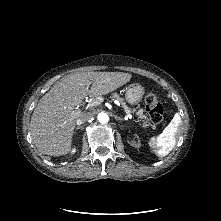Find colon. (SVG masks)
<instances>
[{"label":"colon","instance_id":"1","mask_svg":"<svg viewBox=\"0 0 221 221\" xmlns=\"http://www.w3.org/2000/svg\"><path fill=\"white\" fill-rule=\"evenodd\" d=\"M144 104L151 122L154 125L161 124L164 116V108L160 98L156 94L150 93L146 96Z\"/></svg>","mask_w":221,"mask_h":221}]
</instances>
